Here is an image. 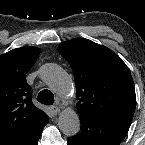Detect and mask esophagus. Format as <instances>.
Masks as SVG:
<instances>
[{
  "mask_svg": "<svg viewBox=\"0 0 145 145\" xmlns=\"http://www.w3.org/2000/svg\"><path fill=\"white\" fill-rule=\"evenodd\" d=\"M51 110H52L54 115H58L60 113V108L57 106H52Z\"/></svg>",
  "mask_w": 145,
  "mask_h": 145,
  "instance_id": "1",
  "label": "esophagus"
}]
</instances>
